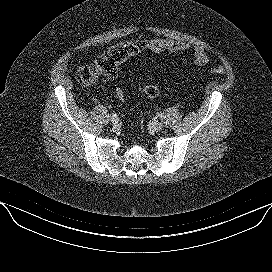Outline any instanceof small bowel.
<instances>
[{"instance_id":"c3829d8e","label":"small bowel","mask_w":272,"mask_h":272,"mask_svg":"<svg viewBox=\"0 0 272 272\" xmlns=\"http://www.w3.org/2000/svg\"><path fill=\"white\" fill-rule=\"evenodd\" d=\"M146 46L149 50L156 54H160L163 52L176 53L191 48V44L189 42L178 41L170 38L151 40L146 43ZM208 62L209 57L206 54L205 50L200 46L194 47L192 51L191 63L200 67H204L208 64Z\"/></svg>"}]
</instances>
